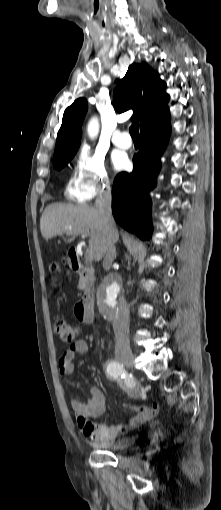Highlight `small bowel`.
<instances>
[{
  "label": "small bowel",
  "mask_w": 221,
  "mask_h": 510,
  "mask_svg": "<svg viewBox=\"0 0 221 510\" xmlns=\"http://www.w3.org/2000/svg\"><path fill=\"white\" fill-rule=\"evenodd\" d=\"M87 351L88 343L85 340L80 339L73 343L62 354L58 361L60 374L63 376H71L74 373V360L78 356L86 354ZM124 387L129 396H134L137 393L136 389L132 386L124 385ZM88 396L87 402L76 398L72 399L70 401L71 408L83 434L91 440L102 443L113 441L119 435L145 424L156 417L161 410L160 401H155L151 406L123 403L121 407L133 414L126 422L117 425L92 423L90 418H95L103 414L105 410V398L101 390L96 386L89 388Z\"/></svg>",
  "instance_id": "obj_1"
}]
</instances>
